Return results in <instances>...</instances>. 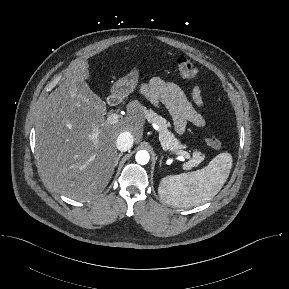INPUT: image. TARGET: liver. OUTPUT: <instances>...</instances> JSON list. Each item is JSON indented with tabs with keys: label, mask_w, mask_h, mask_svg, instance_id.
Listing matches in <instances>:
<instances>
[{
	"label": "liver",
	"mask_w": 289,
	"mask_h": 289,
	"mask_svg": "<svg viewBox=\"0 0 289 289\" xmlns=\"http://www.w3.org/2000/svg\"><path fill=\"white\" fill-rule=\"evenodd\" d=\"M89 76V64L81 60L48 96L36 123L39 173L75 200H89L107 187L117 165L118 135L130 132L140 142L145 124L137 101L128 104L126 117L109 124L90 95L78 88Z\"/></svg>",
	"instance_id": "6515ba94"
}]
</instances>
